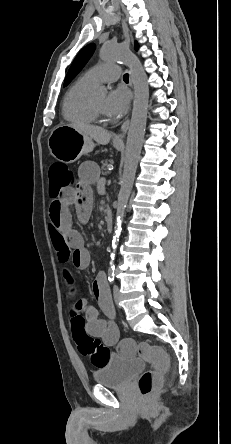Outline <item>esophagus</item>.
Here are the masks:
<instances>
[{"instance_id": "1", "label": "esophagus", "mask_w": 231, "mask_h": 444, "mask_svg": "<svg viewBox=\"0 0 231 444\" xmlns=\"http://www.w3.org/2000/svg\"><path fill=\"white\" fill-rule=\"evenodd\" d=\"M123 30H124L125 37L128 38V27L125 22H123ZM128 127H129V119H126L123 122V124L121 125V132L119 134L115 135V137H114L115 142H119V143L123 142Z\"/></svg>"}]
</instances>
